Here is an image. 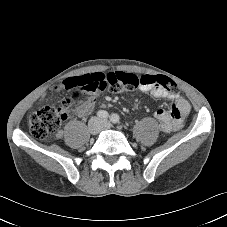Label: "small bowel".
Returning a JSON list of instances; mask_svg holds the SVG:
<instances>
[{"mask_svg": "<svg viewBox=\"0 0 227 227\" xmlns=\"http://www.w3.org/2000/svg\"><path fill=\"white\" fill-rule=\"evenodd\" d=\"M63 89H81L91 95L77 108L79 117L89 115L95 106V94L106 93L110 90V83L107 81L105 72L87 71L83 75H75L73 78H63L61 80ZM140 90L150 92L158 99H168L173 104L168 110L159 109L155 112V118L160 122L161 129L165 133H170L180 129L183 125L185 116L190 111L188 101L181 95L170 93L159 85H141Z\"/></svg>", "mask_w": 227, "mask_h": 227, "instance_id": "obj_1", "label": "small bowel"}]
</instances>
